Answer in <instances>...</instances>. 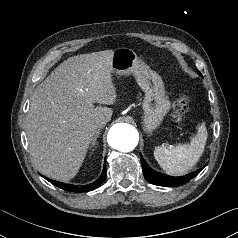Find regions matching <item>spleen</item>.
<instances>
[{
  "label": "spleen",
  "instance_id": "obj_1",
  "mask_svg": "<svg viewBox=\"0 0 238 238\" xmlns=\"http://www.w3.org/2000/svg\"><path fill=\"white\" fill-rule=\"evenodd\" d=\"M207 140V130L204 123L197 128V134L190 144H179L172 148L158 146L154 157L158 164L168 174L179 176L186 174L200 159Z\"/></svg>",
  "mask_w": 238,
  "mask_h": 238
}]
</instances>
